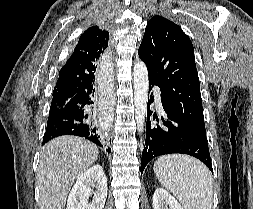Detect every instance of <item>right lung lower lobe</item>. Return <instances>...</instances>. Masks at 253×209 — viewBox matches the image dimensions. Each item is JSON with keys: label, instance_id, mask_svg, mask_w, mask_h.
<instances>
[{"label": "right lung lower lobe", "instance_id": "98d812e1", "mask_svg": "<svg viewBox=\"0 0 253 209\" xmlns=\"http://www.w3.org/2000/svg\"><path fill=\"white\" fill-rule=\"evenodd\" d=\"M94 86L93 83L71 97L52 99L43 144L58 136L75 135L111 151L102 127L84 110L85 105L93 104Z\"/></svg>", "mask_w": 253, "mask_h": 209}]
</instances>
